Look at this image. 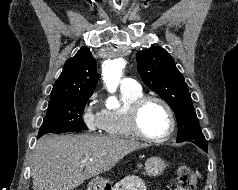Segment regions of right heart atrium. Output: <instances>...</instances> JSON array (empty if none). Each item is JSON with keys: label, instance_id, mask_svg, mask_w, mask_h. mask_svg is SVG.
Segmentation results:
<instances>
[{"label": "right heart atrium", "instance_id": "d8ad5b80", "mask_svg": "<svg viewBox=\"0 0 238 190\" xmlns=\"http://www.w3.org/2000/svg\"><path fill=\"white\" fill-rule=\"evenodd\" d=\"M82 119L90 131L103 130L104 110L99 107L98 93L94 92L86 101Z\"/></svg>", "mask_w": 238, "mask_h": 190}]
</instances>
